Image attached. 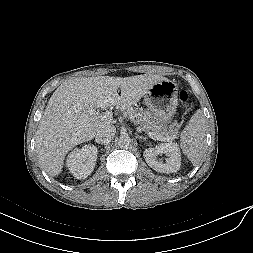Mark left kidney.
I'll return each instance as SVG.
<instances>
[{
    "instance_id": "left-kidney-1",
    "label": "left kidney",
    "mask_w": 253,
    "mask_h": 253,
    "mask_svg": "<svg viewBox=\"0 0 253 253\" xmlns=\"http://www.w3.org/2000/svg\"><path fill=\"white\" fill-rule=\"evenodd\" d=\"M161 154L167 156L165 163L157 158ZM143 156L148 166L160 173H175L181 166V154L177 143H162L155 148H148Z\"/></svg>"
}]
</instances>
